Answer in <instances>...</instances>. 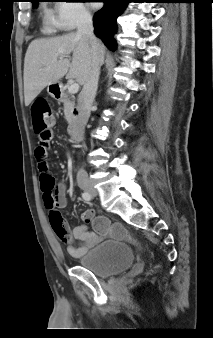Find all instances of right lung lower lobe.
<instances>
[{"mask_svg": "<svg viewBox=\"0 0 213 338\" xmlns=\"http://www.w3.org/2000/svg\"><path fill=\"white\" fill-rule=\"evenodd\" d=\"M104 7L93 19L94 32L111 50H115L116 43L113 35L116 31L117 17L122 13L130 0H103Z\"/></svg>", "mask_w": 213, "mask_h": 338, "instance_id": "obj_1", "label": "right lung lower lobe"}]
</instances>
